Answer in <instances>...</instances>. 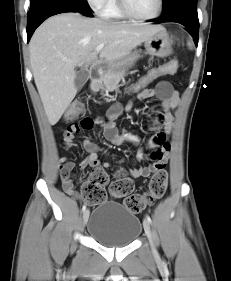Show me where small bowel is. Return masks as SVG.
<instances>
[{"instance_id":"obj_1","label":"small bowel","mask_w":231,"mask_h":281,"mask_svg":"<svg viewBox=\"0 0 231 281\" xmlns=\"http://www.w3.org/2000/svg\"><path fill=\"white\" fill-rule=\"evenodd\" d=\"M152 97H156L159 100L160 107L158 118L153 124V130H155V133L149 141V147L154 150L150 155L153 163L148 166H140L128 170L127 173L132 178L148 177L152 173L163 169L169 159L171 146L168 138L174 126V112L179 104V95L167 81H160L154 89H146L136 95V98L139 100ZM120 112L121 106L119 104H115L108 110V118L113 120L120 114ZM94 125L102 126L105 139L115 145H120L127 141L138 143V139L132 135L119 134L117 128L112 122L105 123L99 118L94 120L90 117H84L80 122H73L68 125L64 133V142L66 147L69 148L76 146L74 139L80 129L89 130ZM83 147L89 153L87 159L82 163L83 167L90 166L95 169L100 166L105 168L114 167V165L109 162H101L97 154L99 147L91 139L86 138L83 141ZM143 157V155H140L141 159ZM58 164L63 190L68 195L78 197V193L75 190V185L72 179L75 164L72 161H69L66 157H61L58 160Z\"/></svg>"}]
</instances>
